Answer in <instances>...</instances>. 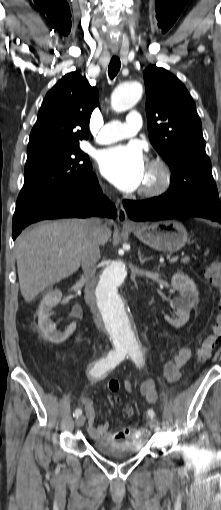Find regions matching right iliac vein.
I'll use <instances>...</instances> for the list:
<instances>
[{
	"mask_svg": "<svg viewBox=\"0 0 221 510\" xmlns=\"http://www.w3.org/2000/svg\"><path fill=\"white\" fill-rule=\"evenodd\" d=\"M84 423H85V416H83V415L77 417L76 420H75V424H76L77 427L83 426Z\"/></svg>",
	"mask_w": 221,
	"mask_h": 510,
	"instance_id": "63e3f726",
	"label": "right iliac vein"
}]
</instances>
